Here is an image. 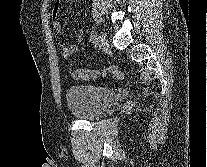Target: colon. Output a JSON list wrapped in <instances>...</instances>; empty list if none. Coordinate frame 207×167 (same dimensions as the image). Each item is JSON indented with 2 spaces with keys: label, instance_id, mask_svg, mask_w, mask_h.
Wrapping results in <instances>:
<instances>
[{
  "label": "colon",
  "instance_id": "colon-1",
  "mask_svg": "<svg viewBox=\"0 0 207 167\" xmlns=\"http://www.w3.org/2000/svg\"><path fill=\"white\" fill-rule=\"evenodd\" d=\"M110 75L116 80H122L123 72L115 67L102 70H89V69H75L70 72V76L75 80H95L99 77Z\"/></svg>",
  "mask_w": 207,
  "mask_h": 167
}]
</instances>
